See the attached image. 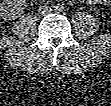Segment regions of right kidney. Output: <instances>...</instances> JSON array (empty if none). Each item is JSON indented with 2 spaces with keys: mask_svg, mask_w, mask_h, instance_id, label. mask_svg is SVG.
<instances>
[{
  "mask_svg": "<svg viewBox=\"0 0 111 106\" xmlns=\"http://www.w3.org/2000/svg\"><path fill=\"white\" fill-rule=\"evenodd\" d=\"M11 6L8 3V6H5V3L3 2L2 7H1V14L5 18H11L13 14V9L10 8Z\"/></svg>",
  "mask_w": 111,
  "mask_h": 106,
  "instance_id": "right-kidney-1",
  "label": "right kidney"
}]
</instances>
